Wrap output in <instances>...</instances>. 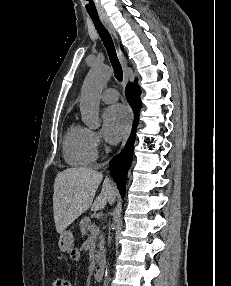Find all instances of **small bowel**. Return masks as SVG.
Returning <instances> with one entry per match:
<instances>
[{
  "instance_id": "small-bowel-1",
  "label": "small bowel",
  "mask_w": 231,
  "mask_h": 286,
  "mask_svg": "<svg viewBox=\"0 0 231 286\" xmlns=\"http://www.w3.org/2000/svg\"><path fill=\"white\" fill-rule=\"evenodd\" d=\"M70 258H71L73 261H78V260L80 259V252H79V250L73 249V250L70 252Z\"/></svg>"
}]
</instances>
